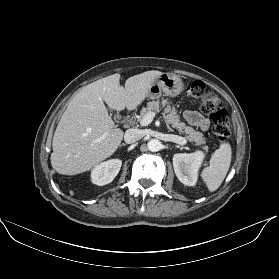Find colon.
<instances>
[{"mask_svg":"<svg viewBox=\"0 0 279 279\" xmlns=\"http://www.w3.org/2000/svg\"><path fill=\"white\" fill-rule=\"evenodd\" d=\"M186 92L188 96L197 100L203 114L209 116L213 123V132L217 139L225 142L230 138V123L227 111L222 107L220 98L208 90L201 81L190 83Z\"/></svg>","mask_w":279,"mask_h":279,"instance_id":"1","label":"colon"}]
</instances>
